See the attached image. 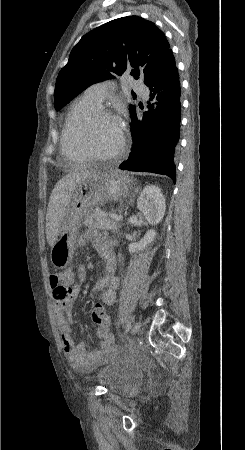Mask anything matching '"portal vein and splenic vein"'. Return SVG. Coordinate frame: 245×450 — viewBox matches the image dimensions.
Returning <instances> with one entry per match:
<instances>
[{
    "label": "portal vein and splenic vein",
    "mask_w": 245,
    "mask_h": 450,
    "mask_svg": "<svg viewBox=\"0 0 245 450\" xmlns=\"http://www.w3.org/2000/svg\"><path fill=\"white\" fill-rule=\"evenodd\" d=\"M109 216L115 221H121L122 220V216H119V215H117L115 213H110Z\"/></svg>",
    "instance_id": "1"
}]
</instances>
